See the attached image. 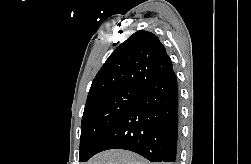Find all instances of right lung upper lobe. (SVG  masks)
Here are the masks:
<instances>
[{"label":"right lung upper lobe","instance_id":"right-lung-upper-lobe-1","mask_svg":"<svg viewBox=\"0 0 251 164\" xmlns=\"http://www.w3.org/2000/svg\"><path fill=\"white\" fill-rule=\"evenodd\" d=\"M172 68V61L159 38L140 30L108 57L90 87L87 101L124 88H141Z\"/></svg>","mask_w":251,"mask_h":164}]
</instances>
